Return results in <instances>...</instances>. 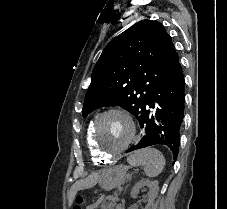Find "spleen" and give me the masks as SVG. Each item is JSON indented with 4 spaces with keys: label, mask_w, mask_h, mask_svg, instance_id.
Wrapping results in <instances>:
<instances>
[{
    "label": "spleen",
    "mask_w": 227,
    "mask_h": 209,
    "mask_svg": "<svg viewBox=\"0 0 227 209\" xmlns=\"http://www.w3.org/2000/svg\"><path fill=\"white\" fill-rule=\"evenodd\" d=\"M131 167H141L147 177H157L165 167V157L157 149H139L127 159Z\"/></svg>",
    "instance_id": "1"
}]
</instances>
